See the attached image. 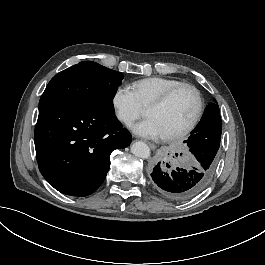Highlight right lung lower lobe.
<instances>
[{
    "label": "right lung lower lobe",
    "instance_id": "right-lung-lower-lobe-1",
    "mask_svg": "<svg viewBox=\"0 0 265 265\" xmlns=\"http://www.w3.org/2000/svg\"><path fill=\"white\" fill-rule=\"evenodd\" d=\"M34 141L39 170L59 192L87 196L104 181L110 154L131 135L114 115L58 100L39 102Z\"/></svg>",
    "mask_w": 265,
    "mask_h": 265
}]
</instances>
